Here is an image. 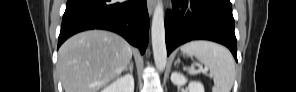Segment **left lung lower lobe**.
<instances>
[{
	"label": "left lung lower lobe",
	"mask_w": 296,
	"mask_h": 92,
	"mask_svg": "<svg viewBox=\"0 0 296 92\" xmlns=\"http://www.w3.org/2000/svg\"><path fill=\"white\" fill-rule=\"evenodd\" d=\"M165 16V40L169 55L191 40H211L227 46L237 61V41L230 0H172Z\"/></svg>",
	"instance_id": "obj_1"
}]
</instances>
